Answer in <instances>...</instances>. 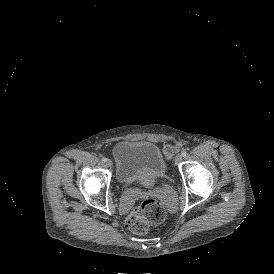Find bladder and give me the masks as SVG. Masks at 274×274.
I'll list each match as a JSON object with an SVG mask.
<instances>
[{"instance_id": "obj_1", "label": "bladder", "mask_w": 274, "mask_h": 274, "mask_svg": "<svg viewBox=\"0 0 274 274\" xmlns=\"http://www.w3.org/2000/svg\"><path fill=\"white\" fill-rule=\"evenodd\" d=\"M116 178L121 183L140 179L155 182L158 177H166L167 162L160 148L150 141L125 140L113 148Z\"/></svg>"}]
</instances>
